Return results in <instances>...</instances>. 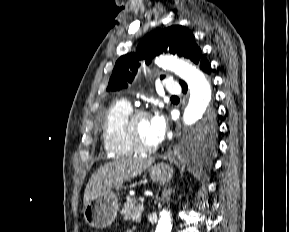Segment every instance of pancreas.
I'll list each match as a JSON object with an SVG mask.
<instances>
[{
	"label": "pancreas",
	"mask_w": 289,
	"mask_h": 232,
	"mask_svg": "<svg viewBox=\"0 0 289 232\" xmlns=\"http://www.w3.org/2000/svg\"><path fill=\"white\" fill-rule=\"evenodd\" d=\"M143 211L142 203L138 204L135 199L128 197L124 203L121 214L124 215L125 220L139 222Z\"/></svg>",
	"instance_id": "pancreas-1"
}]
</instances>
